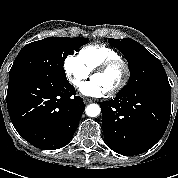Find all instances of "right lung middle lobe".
<instances>
[{
    "mask_svg": "<svg viewBox=\"0 0 178 178\" xmlns=\"http://www.w3.org/2000/svg\"><path fill=\"white\" fill-rule=\"evenodd\" d=\"M89 38L47 37L24 46L16 57L9 80L17 77H63L64 60L75 48L84 45Z\"/></svg>",
    "mask_w": 178,
    "mask_h": 178,
    "instance_id": "right-lung-middle-lobe-1",
    "label": "right lung middle lobe"
}]
</instances>
